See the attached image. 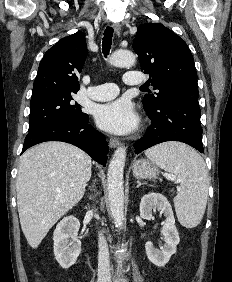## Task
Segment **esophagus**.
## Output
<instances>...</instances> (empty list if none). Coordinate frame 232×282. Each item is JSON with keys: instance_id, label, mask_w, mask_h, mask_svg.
Returning <instances> with one entry per match:
<instances>
[{"instance_id": "34e87169", "label": "esophagus", "mask_w": 232, "mask_h": 282, "mask_svg": "<svg viewBox=\"0 0 232 282\" xmlns=\"http://www.w3.org/2000/svg\"><path fill=\"white\" fill-rule=\"evenodd\" d=\"M112 27H113L116 35L119 36L120 32H121L120 24L119 23H113ZM109 145H110L111 148H116L120 145V141H119V139L112 137V138H110Z\"/></svg>"}]
</instances>
